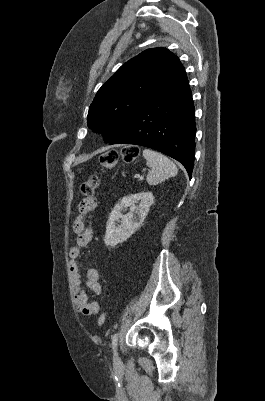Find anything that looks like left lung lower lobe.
Here are the masks:
<instances>
[{"label":"left lung lower lobe","instance_id":"obj_1","mask_svg":"<svg viewBox=\"0 0 265 401\" xmlns=\"http://www.w3.org/2000/svg\"><path fill=\"white\" fill-rule=\"evenodd\" d=\"M195 133L194 103L184 71L108 143L135 144L160 151L181 162L191 177Z\"/></svg>","mask_w":265,"mask_h":401}]
</instances>
